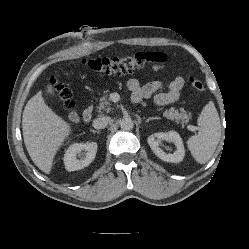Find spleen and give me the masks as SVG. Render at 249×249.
Returning a JSON list of instances; mask_svg holds the SVG:
<instances>
[{
  "instance_id": "obj_1",
  "label": "spleen",
  "mask_w": 249,
  "mask_h": 249,
  "mask_svg": "<svg viewBox=\"0 0 249 249\" xmlns=\"http://www.w3.org/2000/svg\"><path fill=\"white\" fill-rule=\"evenodd\" d=\"M197 122L200 130L188 139L187 145L194 159L204 164L214 154L221 137L219 114L212 101L204 106Z\"/></svg>"
}]
</instances>
